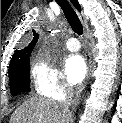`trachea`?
Masks as SVG:
<instances>
[{"instance_id": "trachea-1", "label": "trachea", "mask_w": 122, "mask_h": 123, "mask_svg": "<svg viewBox=\"0 0 122 123\" xmlns=\"http://www.w3.org/2000/svg\"><path fill=\"white\" fill-rule=\"evenodd\" d=\"M56 1L63 10L66 19L68 20L73 31L78 35H82L83 26L78 18V15L74 11L70 3L67 0H56Z\"/></svg>"}]
</instances>
